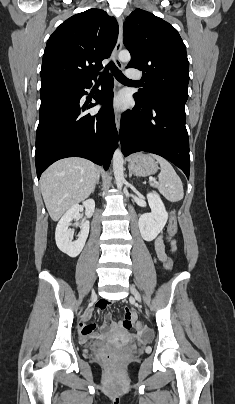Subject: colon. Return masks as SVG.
<instances>
[{
  "label": "colon",
  "mask_w": 235,
  "mask_h": 404,
  "mask_svg": "<svg viewBox=\"0 0 235 404\" xmlns=\"http://www.w3.org/2000/svg\"><path fill=\"white\" fill-rule=\"evenodd\" d=\"M177 221L175 216L173 215L169 221V225H168V235H169V239L171 240L175 234L177 233ZM165 267L167 270H172L173 264L170 258H167L165 261ZM122 326L125 329H131V328H136L139 329L140 328V324L138 322H134L132 315L130 313V311L128 309L125 310L124 313V317L122 319Z\"/></svg>",
  "instance_id": "colon-1"
}]
</instances>
